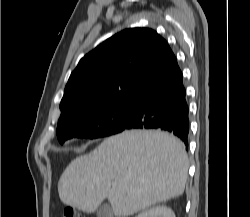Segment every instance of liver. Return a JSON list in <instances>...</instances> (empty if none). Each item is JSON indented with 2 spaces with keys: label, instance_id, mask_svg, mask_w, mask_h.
<instances>
[{
  "label": "liver",
  "instance_id": "obj_1",
  "mask_svg": "<svg viewBox=\"0 0 250 217\" xmlns=\"http://www.w3.org/2000/svg\"><path fill=\"white\" fill-rule=\"evenodd\" d=\"M189 162L183 143L161 131L131 130L77 157L58 181L63 204L95 212L108 198L126 217L183 194Z\"/></svg>",
  "mask_w": 250,
  "mask_h": 217
}]
</instances>
